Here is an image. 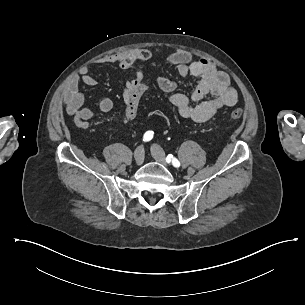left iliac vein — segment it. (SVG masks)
<instances>
[{
  "mask_svg": "<svg viewBox=\"0 0 305 305\" xmlns=\"http://www.w3.org/2000/svg\"><path fill=\"white\" fill-rule=\"evenodd\" d=\"M152 156L156 161H158L165 167L169 166V164L165 160V152L159 146L156 145L154 148H152Z\"/></svg>",
  "mask_w": 305,
  "mask_h": 305,
  "instance_id": "obj_1",
  "label": "left iliac vein"
}]
</instances>
